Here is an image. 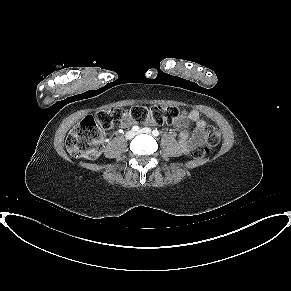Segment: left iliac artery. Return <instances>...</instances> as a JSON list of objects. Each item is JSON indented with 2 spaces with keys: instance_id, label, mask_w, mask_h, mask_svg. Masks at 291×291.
I'll return each instance as SVG.
<instances>
[{
  "instance_id": "44dca946",
  "label": "left iliac artery",
  "mask_w": 291,
  "mask_h": 291,
  "mask_svg": "<svg viewBox=\"0 0 291 291\" xmlns=\"http://www.w3.org/2000/svg\"><path fill=\"white\" fill-rule=\"evenodd\" d=\"M152 134H153L154 136H158V135H159V131H158V130H153V131H152Z\"/></svg>"
}]
</instances>
